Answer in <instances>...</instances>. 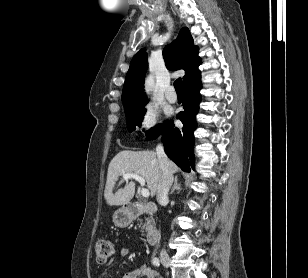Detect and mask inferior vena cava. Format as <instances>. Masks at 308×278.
I'll list each match as a JSON object with an SVG mask.
<instances>
[{
  "mask_svg": "<svg viewBox=\"0 0 308 278\" xmlns=\"http://www.w3.org/2000/svg\"><path fill=\"white\" fill-rule=\"evenodd\" d=\"M157 158L161 170V177L157 188V200L159 203L168 201V192L173 183V174L170 169V161L164 152L162 144L156 147Z\"/></svg>",
  "mask_w": 308,
  "mask_h": 278,
  "instance_id": "inferior-vena-cava-1",
  "label": "inferior vena cava"
}]
</instances>
